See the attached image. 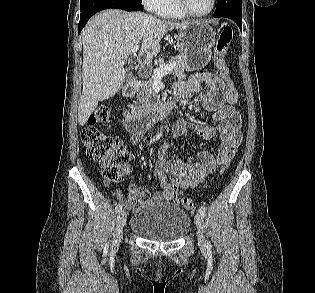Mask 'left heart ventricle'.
Here are the masks:
<instances>
[{"mask_svg": "<svg viewBox=\"0 0 315 293\" xmlns=\"http://www.w3.org/2000/svg\"><path fill=\"white\" fill-rule=\"evenodd\" d=\"M190 9L195 13H204L211 6V0H188Z\"/></svg>", "mask_w": 315, "mask_h": 293, "instance_id": "b2bd125f", "label": "left heart ventricle"}]
</instances>
